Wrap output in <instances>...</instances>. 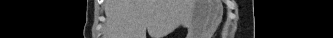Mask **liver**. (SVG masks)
<instances>
[{
	"label": "liver",
	"mask_w": 333,
	"mask_h": 38,
	"mask_svg": "<svg viewBox=\"0 0 333 38\" xmlns=\"http://www.w3.org/2000/svg\"><path fill=\"white\" fill-rule=\"evenodd\" d=\"M162 7V3L157 0H144L142 4V11L155 12Z\"/></svg>",
	"instance_id": "1"
}]
</instances>
